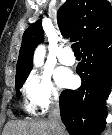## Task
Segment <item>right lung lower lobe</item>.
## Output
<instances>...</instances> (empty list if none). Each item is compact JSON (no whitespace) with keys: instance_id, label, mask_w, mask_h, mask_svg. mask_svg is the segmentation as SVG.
Listing matches in <instances>:
<instances>
[{"instance_id":"right-lung-lower-lobe-1","label":"right lung lower lobe","mask_w":112,"mask_h":135,"mask_svg":"<svg viewBox=\"0 0 112 135\" xmlns=\"http://www.w3.org/2000/svg\"><path fill=\"white\" fill-rule=\"evenodd\" d=\"M81 50L83 60L76 72L82 84L61 93V119L71 135H99L105 127V103L112 86V33Z\"/></svg>"}]
</instances>
